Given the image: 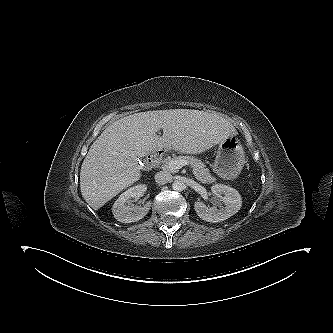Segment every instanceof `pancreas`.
Listing matches in <instances>:
<instances>
[{"mask_svg": "<svg viewBox=\"0 0 333 333\" xmlns=\"http://www.w3.org/2000/svg\"><path fill=\"white\" fill-rule=\"evenodd\" d=\"M172 160H185L188 162V164L191 165L192 169H193V174L195 176V178L200 181L201 183L204 184H210L215 182V177H213L210 174V171L208 168L205 167V164L200 161L199 159L193 157V156H179V157H174L171 159H166L164 161L165 167L169 170H172L169 168V162H171Z\"/></svg>", "mask_w": 333, "mask_h": 333, "instance_id": "1", "label": "pancreas"}]
</instances>
